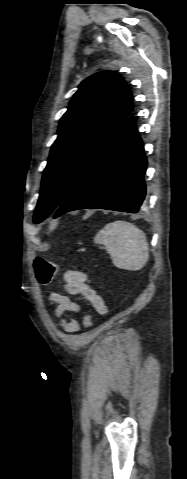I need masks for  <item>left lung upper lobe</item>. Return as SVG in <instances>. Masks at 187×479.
I'll return each instance as SVG.
<instances>
[{"label": "left lung upper lobe", "instance_id": "obj_1", "mask_svg": "<svg viewBox=\"0 0 187 479\" xmlns=\"http://www.w3.org/2000/svg\"><path fill=\"white\" fill-rule=\"evenodd\" d=\"M78 88L59 123L34 223L42 222L68 198L87 170L116 141L133 111L132 93L115 72L93 74Z\"/></svg>", "mask_w": 187, "mask_h": 479}]
</instances>
